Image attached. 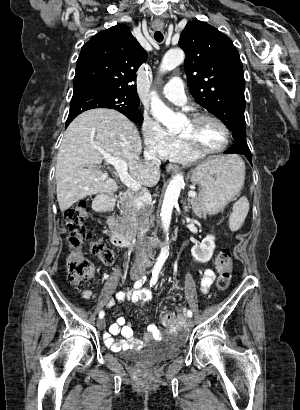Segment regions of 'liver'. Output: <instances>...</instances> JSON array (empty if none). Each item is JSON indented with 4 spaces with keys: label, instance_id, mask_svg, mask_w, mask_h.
I'll list each match as a JSON object with an SVG mask.
<instances>
[{
    "label": "liver",
    "instance_id": "obj_1",
    "mask_svg": "<svg viewBox=\"0 0 300 410\" xmlns=\"http://www.w3.org/2000/svg\"><path fill=\"white\" fill-rule=\"evenodd\" d=\"M141 151L139 132L123 114L111 109H92L77 116L65 131L57 155L55 178L60 210L66 211L86 196L118 189L113 179L93 169L101 164L103 152L123 160L129 175L140 185L155 186L160 170L141 161ZM230 156H215L202 164Z\"/></svg>",
    "mask_w": 300,
    "mask_h": 410
}]
</instances>
